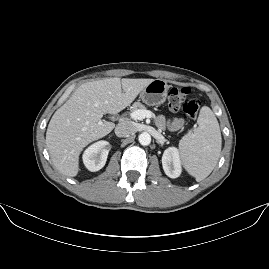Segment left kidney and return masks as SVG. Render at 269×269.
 I'll return each mask as SVG.
<instances>
[{
    "label": "left kidney",
    "mask_w": 269,
    "mask_h": 269,
    "mask_svg": "<svg viewBox=\"0 0 269 269\" xmlns=\"http://www.w3.org/2000/svg\"><path fill=\"white\" fill-rule=\"evenodd\" d=\"M162 166L165 174L170 178H178L182 175L183 168L177 147L170 146L165 149L162 155Z\"/></svg>",
    "instance_id": "left-kidney-1"
}]
</instances>
